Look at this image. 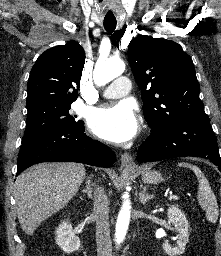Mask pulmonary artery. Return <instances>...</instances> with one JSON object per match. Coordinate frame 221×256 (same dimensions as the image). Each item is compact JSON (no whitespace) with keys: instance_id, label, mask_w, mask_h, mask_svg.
Masks as SVG:
<instances>
[{"instance_id":"1","label":"pulmonary artery","mask_w":221,"mask_h":256,"mask_svg":"<svg viewBox=\"0 0 221 256\" xmlns=\"http://www.w3.org/2000/svg\"><path fill=\"white\" fill-rule=\"evenodd\" d=\"M130 91V81L127 77L116 78L109 86L103 91L105 98H121L126 96Z\"/></svg>"}]
</instances>
